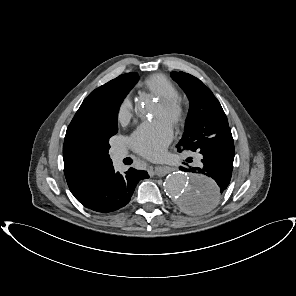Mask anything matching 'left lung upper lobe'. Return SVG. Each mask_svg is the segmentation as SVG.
I'll list each match as a JSON object with an SVG mask.
<instances>
[{"label": "left lung upper lobe", "mask_w": 296, "mask_h": 296, "mask_svg": "<svg viewBox=\"0 0 296 296\" xmlns=\"http://www.w3.org/2000/svg\"><path fill=\"white\" fill-rule=\"evenodd\" d=\"M171 77L190 100L185 132L177 147L202 153L207 150L210 139L229 129L226 115L217 98L199 79L184 72H171ZM192 201H186L184 207L187 208Z\"/></svg>", "instance_id": "5c2ea615"}]
</instances>
